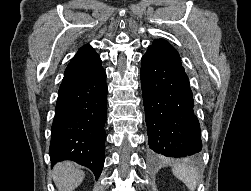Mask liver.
I'll list each match as a JSON object with an SVG mask.
<instances>
[{
	"instance_id": "obj_1",
	"label": "liver",
	"mask_w": 251,
	"mask_h": 191,
	"mask_svg": "<svg viewBox=\"0 0 251 191\" xmlns=\"http://www.w3.org/2000/svg\"><path fill=\"white\" fill-rule=\"evenodd\" d=\"M84 175L73 161H59L53 167L52 177L58 191H73L83 181Z\"/></svg>"
}]
</instances>
